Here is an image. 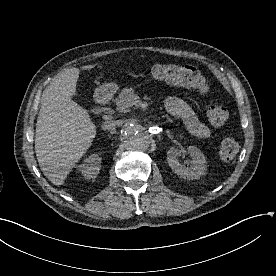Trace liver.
Returning <instances> with one entry per match:
<instances>
[{
	"mask_svg": "<svg viewBox=\"0 0 276 276\" xmlns=\"http://www.w3.org/2000/svg\"><path fill=\"white\" fill-rule=\"evenodd\" d=\"M95 65L81 67L92 69ZM80 69L70 68L44 90L35 132V152L41 171L54 185L67 175L96 137V126L84 108L72 100Z\"/></svg>",
	"mask_w": 276,
	"mask_h": 276,
	"instance_id": "obj_1",
	"label": "liver"
}]
</instances>
